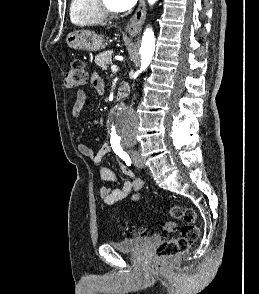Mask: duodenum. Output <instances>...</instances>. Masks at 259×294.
Instances as JSON below:
<instances>
[{
	"label": "duodenum",
	"mask_w": 259,
	"mask_h": 294,
	"mask_svg": "<svg viewBox=\"0 0 259 294\" xmlns=\"http://www.w3.org/2000/svg\"><path fill=\"white\" fill-rule=\"evenodd\" d=\"M129 92V86L128 84H123L121 85L118 90H117V93H116V99L118 102L122 101L128 94Z\"/></svg>",
	"instance_id": "obj_1"
}]
</instances>
